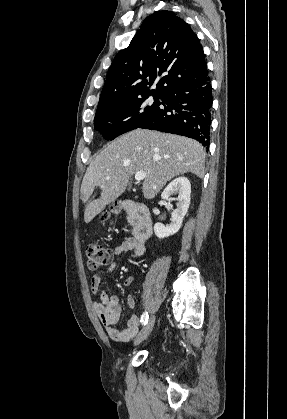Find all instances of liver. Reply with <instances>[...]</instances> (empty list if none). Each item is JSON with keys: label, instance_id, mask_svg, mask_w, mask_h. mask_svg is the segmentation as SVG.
I'll list each match as a JSON object with an SVG mask.
<instances>
[{"label": "liver", "instance_id": "liver-1", "mask_svg": "<svg viewBox=\"0 0 287 419\" xmlns=\"http://www.w3.org/2000/svg\"><path fill=\"white\" fill-rule=\"evenodd\" d=\"M205 155L199 142L184 136L145 129L123 134L108 144L86 170L80 190L86 204L84 221L89 223L123 194L137 172L146 173L142 193L147 199L154 198L176 176L191 172L203 178ZM95 187L101 189V195L90 200Z\"/></svg>", "mask_w": 287, "mask_h": 419}]
</instances>
